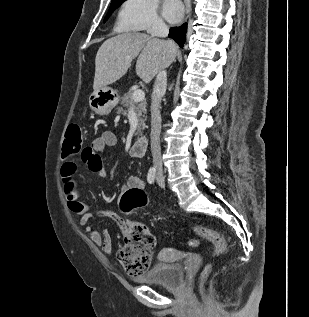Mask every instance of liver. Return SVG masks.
<instances>
[{
	"mask_svg": "<svg viewBox=\"0 0 309 317\" xmlns=\"http://www.w3.org/2000/svg\"><path fill=\"white\" fill-rule=\"evenodd\" d=\"M176 54L177 46L173 41H163L145 33H122L109 38L96 55L93 89L119 80L136 57V74L149 83L159 70L174 62Z\"/></svg>",
	"mask_w": 309,
	"mask_h": 317,
	"instance_id": "obj_1",
	"label": "liver"
}]
</instances>
